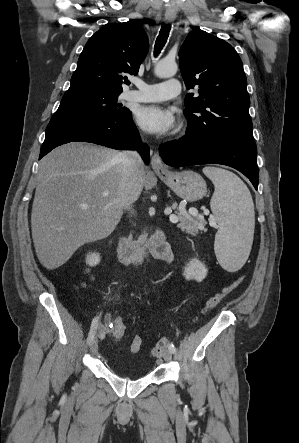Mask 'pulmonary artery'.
I'll return each instance as SVG.
<instances>
[{
  "mask_svg": "<svg viewBox=\"0 0 299 443\" xmlns=\"http://www.w3.org/2000/svg\"><path fill=\"white\" fill-rule=\"evenodd\" d=\"M135 91L128 94V98L138 102H157L172 99L181 92V85L177 79H169L162 83L147 84L139 80L134 81Z\"/></svg>",
  "mask_w": 299,
  "mask_h": 443,
  "instance_id": "1",
  "label": "pulmonary artery"
}]
</instances>
